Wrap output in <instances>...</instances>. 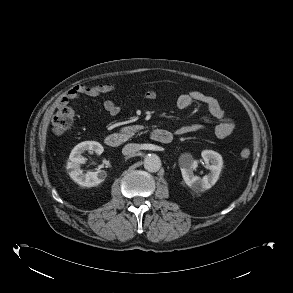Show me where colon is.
Listing matches in <instances>:
<instances>
[{"instance_id":"obj_1","label":"colon","mask_w":293,"mask_h":293,"mask_svg":"<svg viewBox=\"0 0 293 293\" xmlns=\"http://www.w3.org/2000/svg\"><path fill=\"white\" fill-rule=\"evenodd\" d=\"M74 120V112L73 110L68 107L67 105L58 106L53 119V130L56 134L61 135L65 131H67ZM250 156V150L244 148L240 151L239 157L243 160L248 159Z\"/></svg>"}]
</instances>
